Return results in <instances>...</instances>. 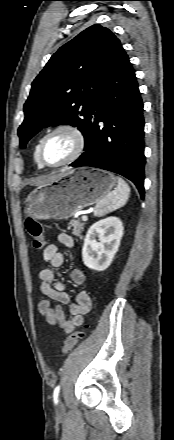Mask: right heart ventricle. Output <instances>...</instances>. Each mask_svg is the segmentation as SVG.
Returning <instances> with one entry per match:
<instances>
[{
    "label": "right heart ventricle",
    "instance_id": "right-heart-ventricle-1",
    "mask_svg": "<svg viewBox=\"0 0 174 440\" xmlns=\"http://www.w3.org/2000/svg\"><path fill=\"white\" fill-rule=\"evenodd\" d=\"M38 143H39V142H38ZM38 143L35 145V148H34V161H35L37 167H38L39 169H41L42 166L40 165V163L38 162V159H37V147H38Z\"/></svg>",
    "mask_w": 174,
    "mask_h": 440
}]
</instances>
